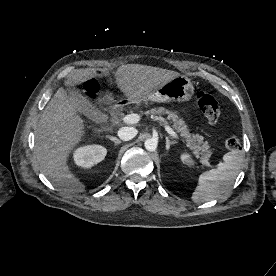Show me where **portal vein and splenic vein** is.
Returning a JSON list of instances; mask_svg holds the SVG:
<instances>
[{
    "label": "portal vein and splenic vein",
    "instance_id": "portal-vein-and-splenic-vein-1",
    "mask_svg": "<svg viewBox=\"0 0 276 276\" xmlns=\"http://www.w3.org/2000/svg\"><path fill=\"white\" fill-rule=\"evenodd\" d=\"M139 120H140V116L138 114H129L123 118V122L125 124H136L139 122ZM164 127H165V130L167 131V133L170 134V136L178 139V135L169 125L165 124ZM201 162L203 164L207 165L208 167H212V165H210L208 162H204V161H201Z\"/></svg>",
    "mask_w": 276,
    "mask_h": 276
}]
</instances>
